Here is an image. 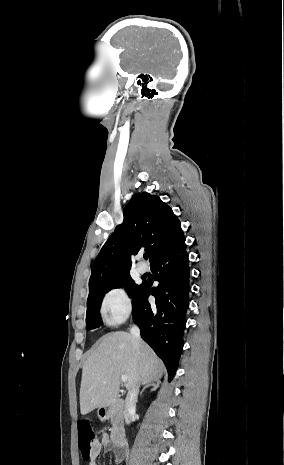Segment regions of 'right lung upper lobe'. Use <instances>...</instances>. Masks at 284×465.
<instances>
[{"mask_svg":"<svg viewBox=\"0 0 284 465\" xmlns=\"http://www.w3.org/2000/svg\"><path fill=\"white\" fill-rule=\"evenodd\" d=\"M123 214V223L116 227L92 265L89 293L130 276L131 254L145 250L152 263L184 238L179 219L156 195L134 194Z\"/></svg>","mask_w":284,"mask_h":465,"instance_id":"1","label":"right lung upper lobe"}]
</instances>
